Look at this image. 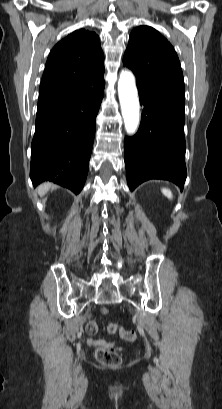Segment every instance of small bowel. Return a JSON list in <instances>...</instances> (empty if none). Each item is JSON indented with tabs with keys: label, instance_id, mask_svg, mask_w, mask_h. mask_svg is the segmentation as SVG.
Listing matches in <instances>:
<instances>
[{
	"label": "small bowel",
	"instance_id": "small-bowel-1",
	"mask_svg": "<svg viewBox=\"0 0 222 409\" xmlns=\"http://www.w3.org/2000/svg\"><path fill=\"white\" fill-rule=\"evenodd\" d=\"M97 329H98V324H97L96 321H90V322L88 323L87 332H88L89 334L94 335V334L97 332ZM89 344H90L91 346H100V347L103 346V347H106V346H110V345L113 344V343L106 341V340H105L104 338H102V337L93 336V337H91V338L89 339Z\"/></svg>",
	"mask_w": 222,
	"mask_h": 409
}]
</instances>
